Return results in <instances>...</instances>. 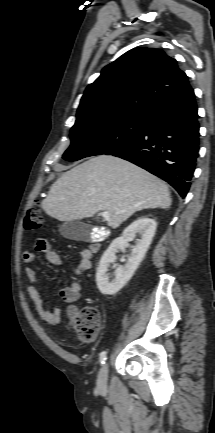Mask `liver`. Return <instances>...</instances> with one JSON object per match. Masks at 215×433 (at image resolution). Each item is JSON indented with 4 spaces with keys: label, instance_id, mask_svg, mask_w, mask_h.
Segmentation results:
<instances>
[{
    "label": "liver",
    "instance_id": "liver-1",
    "mask_svg": "<svg viewBox=\"0 0 215 433\" xmlns=\"http://www.w3.org/2000/svg\"><path fill=\"white\" fill-rule=\"evenodd\" d=\"M168 186L144 169L111 155H99L63 173L42 202L45 213L60 221L93 217L107 211L117 228L143 209H168Z\"/></svg>",
    "mask_w": 215,
    "mask_h": 433
}]
</instances>
